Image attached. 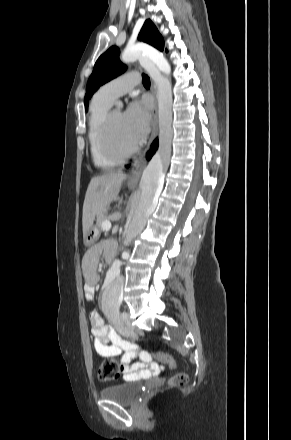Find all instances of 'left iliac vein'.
<instances>
[{"label":"left iliac vein","instance_id":"4c4485c4","mask_svg":"<svg viewBox=\"0 0 291 440\" xmlns=\"http://www.w3.org/2000/svg\"><path fill=\"white\" fill-rule=\"evenodd\" d=\"M120 318L125 326L124 334L126 336H131L132 334H134V327L131 325V319L129 313L122 312Z\"/></svg>","mask_w":291,"mask_h":440}]
</instances>
